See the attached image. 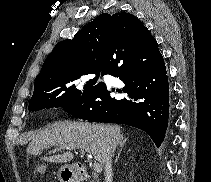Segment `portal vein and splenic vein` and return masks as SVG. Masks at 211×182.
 <instances>
[{
	"mask_svg": "<svg viewBox=\"0 0 211 182\" xmlns=\"http://www.w3.org/2000/svg\"><path fill=\"white\" fill-rule=\"evenodd\" d=\"M82 154H84V150H81L80 151ZM94 170L97 172V173H100L101 172V165L99 163H94Z\"/></svg>",
	"mask_w": 211,
	"mask_h": 182,
	"instance_id": "1",
	"label": "portal vein and splenic vein"
}]
</instances>
